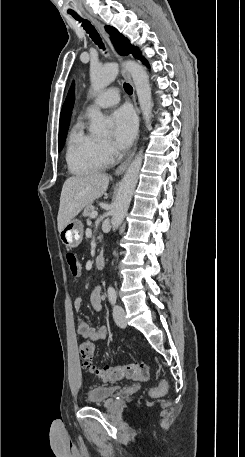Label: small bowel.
<instances>
[{"label":"small bowel","mask_w":245,"mask_h":457,"mask_svg":"<svg viewBox=\"0 0 245 457\" xmlns=\"http://www.w3.org/2000/svg\"><path fill=\"white\" fill-rule=\"evenodd\" d=\"M81 302H82V300L80 298H77L75 300L74 307L76 310H79L81 308ZM90 303H91V306L96 311H99L101 309V288H100V286L95 287L94 290L92 291V293L90 295ZM77 331L83 338L91 340V341H98V340L106 339V337L108 335L107 327L102 326L98 329H94L84 319H80L78 321Z\"/></svg>","instance_id":"small-bowel-1"}]
</instances>
